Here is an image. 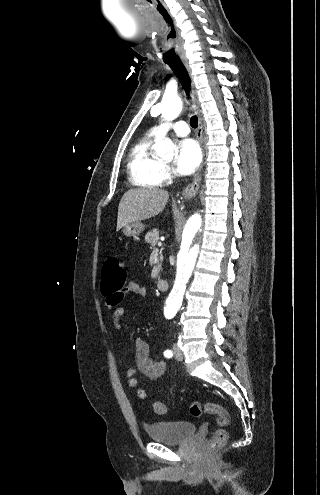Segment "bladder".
<instances>
[{"label": "bladder", "instance_id": "bladder-1", "mask_svg": "<svg viewBox=\"0 0 320 495\" xmlns=\"http://www.w3.org/2000/svg\"><path fill=\"white\" fill-rule=\"evenodd\" d=\"M195 431L196 425L190 421H159L146 426V432L151 439L172 445L184 442Z\"/></svg>", "mask_w": 320, "mask_h": 495}]
</instances>
